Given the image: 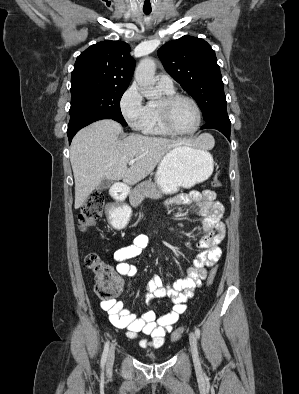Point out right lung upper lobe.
<instances>
[{"label": "right lung upper lobe", "mask_w": 299, "mask_h": 394, "mask_svg": "<svg viewBox=\"0 0 299 394\" xmlns=\"http://www.w3.org/2000/svg\"><path fill=\"white\" fill-rule=\"evenodd\" d=\"M130 46L106 40L90 46L76 59L71 87L98 84L128 87L135 68Z\"/></svg>", "instance_id": "right-lung-upper-lobe-1"}]
</instances>
